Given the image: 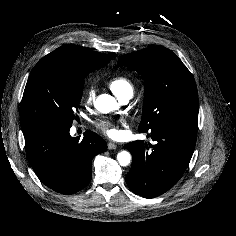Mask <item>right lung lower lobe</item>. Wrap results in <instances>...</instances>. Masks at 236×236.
<instances>
[{
    "label": "right lung lower lobe",
    "mask_w": 236,
    "mask_h": 236,
    "mask_svg": "<svg viewBox=\"0 0 236 236\" xmlns=\"http://www.w3.org/2000/svg\"><path fill=\"white\" fill-rule=\"evenodd\" d=\"M70 128L39 127L25 132L27 158L40 181L52 190L71 195L91 180L93 158L107 144L92 131L71 137Z\"/></svg>",
    "instance_id": "98d812e1"
}]
</instances>
